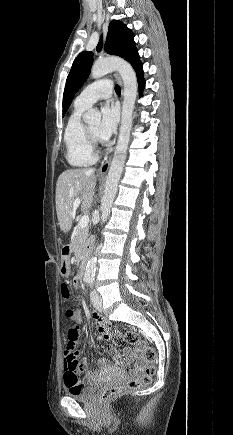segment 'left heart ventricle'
Wrapping results in <instances>:
<instances>
[{
    "mask_svg": "<svg viewBox=\"0 0 233 435\" xmlns=\"http://www.w3.org/2000/svg\"><path fill=\"white\" fill-rule=\"evenodd\" d=\"M88 126H89L90 130L97 136L99 128H100L99 121L89 123Z\"/></svg>",
    "mask_w": 233,
    "mask_h": 435,
    "instance_id": "obj_1",
    "label": "left heart ventricle"
}]
</instances>
